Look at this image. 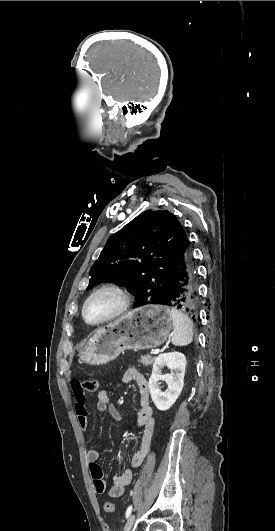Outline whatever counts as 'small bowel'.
I'll return each mask as SVG.
<instances>
[{
  "label": "small bowel",
  "instance_id": "c3829d8e",
  "mask_svg": "<svg viewBox=\"0 0 275 531\" xmlns=\"http://www.w3.org/2000/svg\"><path fill=\"white\" fill-rule=\"evenodd\" d=\"M71 381L77 382L78 376L72 375ZM132 381L137 383L139 390L140 409L136 420V427L141 431V446L139 450L131 454L129 465L131 467H138L144 462L147 455L148 446L151 442L156 421L150 402V389L146 377L139 370L131 367L123 373L121 384L128 385ZM69 389L74 397H79L83 392V390H78L76 388V383H72ZM96 406L100 412H107L113 420L119 421L121 419L119 410L110 402L108 391L100 390L97 393ZM76 411L81 429L87 430L91 422L86 409L85 399L84 401L80 400L78 404H76ZM99 456L100 452L97 448H92L86 453V459L89 463V470L96 492L98 494L107 493L108 496L112 498L121 496L132 481L133 472L131 468H125L121 475L116 477L113 483L108 487L103 480L102 469L98 464Z\"/></svg>",
  "mask_w": 275,
  "mask_h": 531
}]
</instances>
